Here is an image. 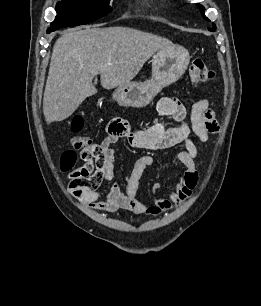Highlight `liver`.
Masks as SVG:
<instances>
[{
    "label": "liver",
    "instance_id": "6515ba94",
    "mask_svg": "<svg viewBox=\"0 0 261 306\" xmlns=\"http://www.w3.org/2000/svg\"><path fill=\"white\" fill-rule=\"evenodd\" d=\"M166 38L129 27L69 30L54 44L43 97L47 124L71 116L97 89L93 78L112 89L131 82ZM110 64V65H109Z\"/></svg>",
    "mask_w": 261,
    "mask_h": 306
}]
</instances>
